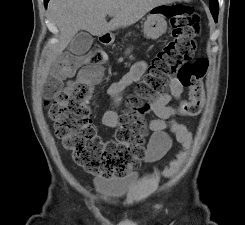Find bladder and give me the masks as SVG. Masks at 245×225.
<instances>
[{"label":"bladder","instance_id":"bladder-1","mask_svg":"<svg viewBox=\"0 0 245 225\" xmlns=\"http://www.w3.org/2000/svg\"><path fill=\"white\" fill-rule=\"evenodd\" d=\"M139 181V174L133 173L126 179H96L97 189L102 197H123L128 191L133 190V187Z\"/></svg>","mask_w":245,"mask_h":225}]
</instances>
